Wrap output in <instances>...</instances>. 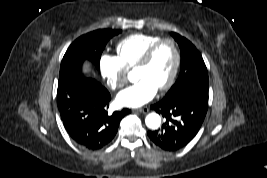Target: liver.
<instances>
[{
	"label": "liver",
	"instance_id": "1",
	"mask_svg": "<svg viewBox=\"0 0 267 178\" xmlns=\"http://www.w3.org/2000/svg\"><path fill=\"white\" fill-rule=\"evenodd\" d=\"M85 70L88 71V67H85Z\"/></svg>",
	"mask_w": 267,
	"mask_h": 178
}]
</instances>
